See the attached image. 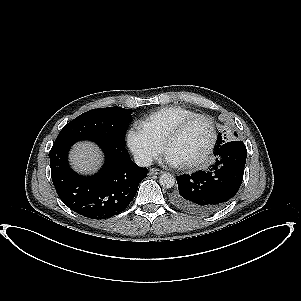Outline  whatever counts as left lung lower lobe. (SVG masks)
<instances>
[{"mask_svg": "<svg viewBox=\"0 0 301 301\" xmlns=\"http://www.w3.org/2000/svg\"><path fill=\"white\" fill-rule=\"evenodd\" d=\"M216 163L209 171L176 177L178 188L171 202L178 208L209 214L226 206L236 196L242 180L247 151L242 141L215 148Z\"/></svg>", "mask_w": 301, "mask_h": 301, "instance_id": "left-lung-lower-lobe-1", "label": "left lung lower lobe"}]
</instances>
